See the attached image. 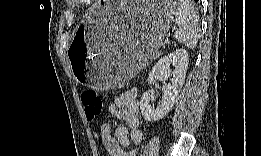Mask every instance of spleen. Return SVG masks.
Segmentation results:
<instances>
[{"instance_id":"3e777b00","label":"spleen","mask_w":261,"mask_h":156,"mask_svg":"<svg viewBox=\"0 0 261 156\" xmlns=\"http://www.w3.org/2000/svg\"><path fill=\"white\" fill-rule=\"evenodd\" d=\"M175 15L177 30L175 37L178 42L183 43L188 48H195L198 43L199 27L196 11L188 0H181L177 7L172 9Z\"/></svg>"}]
</instances>
